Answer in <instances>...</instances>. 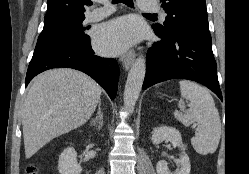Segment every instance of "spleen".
<instances>
[{
  "label": "spleen",
  "mask_w": 249,
  "mask_h": 174,
  "mask_svg": "<svg viewBox=\"0 0 249 174\" xmlns=\"http://www.w3.org/2000/svg\"><path fill=\"white\" fill-rule=\"evenodd\" d=\"M182 98L189 100V109L181 99L178 103L180 111H174V117L185 126L197 124L196 135L191 143L195 151L201 155L214 153L221 136V122L218 110L210 93L197 83L180 81Z\"/></svg>",
  "instance_id": "1"
}]
</instances>
